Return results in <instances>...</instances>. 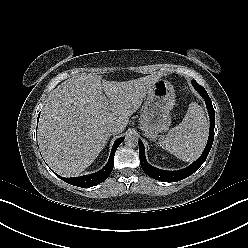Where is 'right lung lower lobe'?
<instances>
[{
	"label": "right lung lower lobe",
	"mask_w": 248,
	"mask_h": 248,
	"mask_svg": "<svg viewBox=\"0 0 248 248\" xmlns=\"http://www.w3.org/2000/svg\"><path fill=\"white\" fill-rule=\"evenodd\" d=\"M39 116H40V114L38 115V120H39ZM123 140H124V137H121L115 141V143L112 147V150H111V154H110V158L108 160V163L100 171H98L94 174H90V175H86V176H82V177H74V178H65V177H61L57 174L56 175L60 179L65 181L66 183H69V184H72V185L78 186V187H83V188L92 187V186H95L97 184L102 183L103 181H105L108 178V176L110 175V173L113 169L115 152Z\"/></svg>",
	"instance_id": "1"
}]
</instances>
